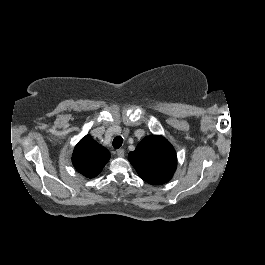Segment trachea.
Instances as JSON below:
<instances>
[{
  "label": "trachea",
  "mask_w": 265,
  "mask_h": 265,
  "mask_svg": "<svg viewBox=\"0 0 265 265\" xmlns=\"http://www.w3.org/2000/svg\"><path fill=\"white\" fill-rule=\"evenodd\" d=\"M122 143H123V138L121 136H117L113 139V147L115 149H118L122 146Z\"/></svg>",
  "instance_id": "3493384b"
}]
</instances>
